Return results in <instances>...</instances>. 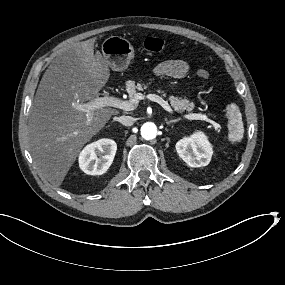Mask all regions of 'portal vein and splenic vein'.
Listing matches in <instances>:
<instances>
[{
	"label": "portal vein and splenic vein",
	"instance_id": "obj_1",
	"mask_svg": "<svg viewBox=\"0 0 285 285\" xmlns=\"http://www.w3.org/2000/svg\"><path fill=\"white\" fill-rule=\"evenodd\" d=\"M147 99L157 102L159 105H161L166 111L172 112L171 107L169 106L168 102L163 100L160 96L156 94H148ZM144 95L142 93H135L132 98H130L129 101H123L117 97L113 96H104V97H97L87 103L84 104H78L76 105V109L82 112L86 113L87 122L90 123V121L93 118V112L96 109H101L103 107H114L119 108L125 111H131L134 110L135 107L138 105L139 100H143ZM188 120H204L208 122V118L206 115L203 114H187L184 116Z\"/></svg>",
	"mask_w": 285,
	"mask_h": 285
}]
</instances>
